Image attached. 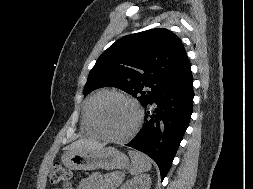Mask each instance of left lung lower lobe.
Instances as JSON below:
<instances>
[{"label":"left lung lower lobe","mask_w":253,"mask_h":189,"mask_svg":"<svg viewBox=\"0 0 253 189\" xmlns=\"http://www.w3.org/2000/svg\"><path fill=\"white\" fill-rule=\"evenodd\" d=\"M191 65L186 58L180 70L144 105L145 123L127 146L149 155L163 180L189 125L194 92Z\"/></svg>","instance_id":"1"}]
</instances>
